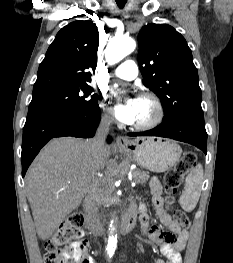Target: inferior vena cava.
Returning a JSON list of instances; mask_svg holds the SVG:
<instances>
[{
	"label": "inferior vena cava",
	"instance_id": "602c4592",
	"mask_svg": "<svg viewBox=\"0 0 233 263\" xmlns=\"http://www.w3.org/2000/svg\"><path fill=\"white\" fill-rule=\"evenodd\" d=\"M112 119L108 116H103L95 137L91 140L92 148L95 153V158L98 164L101 163L102 153L105 151V139L109 130ZM97 178L92 182L88 194L84 201V209L93 222L97 220L100 205L99 188L96 184Z\"/></svg>",
	"mask_w": 233,
	"mask_h": 263
}]
</instances>
